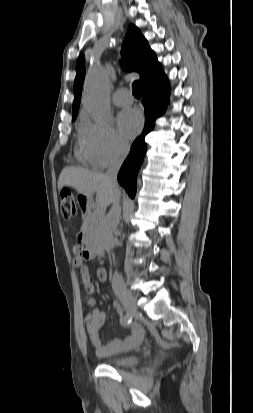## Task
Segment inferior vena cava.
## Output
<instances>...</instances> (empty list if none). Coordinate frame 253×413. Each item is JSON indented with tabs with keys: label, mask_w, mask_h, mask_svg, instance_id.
Listing matches in <instances>:
<instances>
[{
	"label": "inferior vena cava",
	"mask_w": 253,
	"mask_h": 413,
	"mask_svg": "<svg viewBox=\"0 0 253 413\" xmlns=\"http://www.w3.org/2000/svg\"><path fill=\"white\" fill-rule=\"evenodd\" d=\"M128 151H129V147L127 145H124V144L119 145L116 152L113 155L111 164L105 174L107 179L111 182V184L115 188H118L117 174H118V171L123 161L125 160L128 154ZM120 215H121V207L119 205V195H118L109 213L103 219L100 227L97 230L98 240L101 246L106 251H110V249L113 248L115 245V239L113 237V233L118 226ZM112 288L115 293H121L126 290L123 278L118 273H115L113 276Z\"/></svg>",
	"instance_id": "inferior-vena-cava-1"
}]
</instances>
